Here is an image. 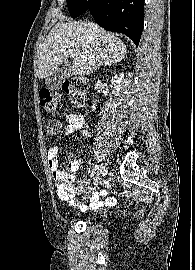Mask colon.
<instances>
[{
	"mask_svg": "<svg viewBox=\"0 0 195 270\" xmlns=\"http://www.w3.org/2000/svg\"><path fill=\"white\" fill-rule=\"evenodd\" d=\"M63 90L67 94L70 103L74 107H81L86 101V90L87 86L82 80H71L63 84ZM59 101V96L57 93L51 92L49 90H42L40 92V105L49 114H53L56 111ZM61 129V123L57 119H49L46 122V130L48 135L55 136L59 133ZM55 182L57 191L65 194L72 189L75 182V178L72 174L67 173L63 170H59L55 174Z\"/></svg>",
	"mask_w": 195,
	"mask_h": 270,
	"instance_id": "obj_1",
	"label": "colon"
}]
</instances>
